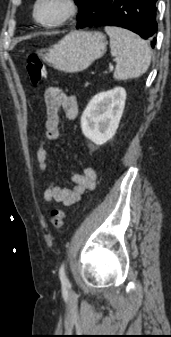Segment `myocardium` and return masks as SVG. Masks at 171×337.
<instances>
[{
    "label": "myocardium",
    "instance_id": "1",
    "mask_svg": "<svg viewBox=\"0 0 171 337\" xmlns=\"http://www.w3.org/2000/svg\"><path fill=\"white\" fill-rule=\"evenodd\" d=\"M43 1L44 0H35L32 7V15L34 21L44 28H57L64 25L71 18H73L79 12L80 9V4L78 0H59L64 5L63 15L58 20L53 22L42 21L38 18L37 11Z\"/></svg>",
    "mask_w": 171,
    "mask_h": 337
}]
</instances>
